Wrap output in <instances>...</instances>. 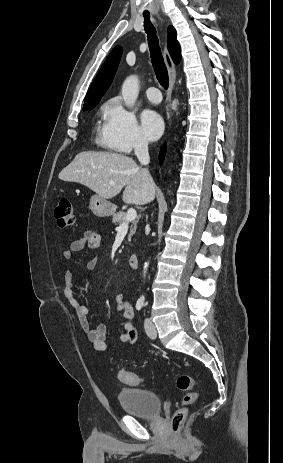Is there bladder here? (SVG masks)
Returning a JSON list of instances; mask_svg holds the SVG:
<instances>
[{
  "label": "bladder",
  "instance_id": "31cf9c89",
  "mask_svg": "<svg viewBox=\"0 0 283 463\" xmlns=\"http://www.w3.org/2000/svg\"><path fill=\"white\" fill-rule=\"evenodd\" d=\"M117 399L125 413L136 417L153 419L162 410L161 398L141 388H123L117 393Z\"/></svg>",
  "mask_w": 283,
  "mask_h": 463
}]
</instances>
